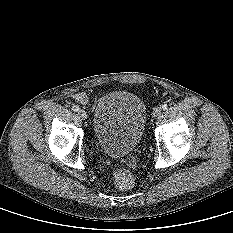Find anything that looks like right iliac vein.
Returning <instances> with one entry per match:
<instances>
[{
  "label": "right iliac vein",
  "mask_w": 233,
  "mask_h": 233,
  "mask_svg": "<svg viewBox=\"0 0 233 233\" xmlns=\"http://www.w3.org/2000/svg\"><path fill=\"white\" fill-rule=\"evenodd\" d=\"M78 114H79V116L82 118V119H86L87 118V113H86V111L85 110H79L78 111Z\"/></svg>",
  "instance_id": "1"
}]
</instances>
